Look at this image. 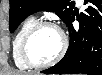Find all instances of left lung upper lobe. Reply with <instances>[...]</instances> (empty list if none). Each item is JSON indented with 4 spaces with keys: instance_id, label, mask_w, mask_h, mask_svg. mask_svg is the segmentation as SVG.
I'll return each mask as SVG.
<instances>
[{
    "instance_id": "obj_1",
    "label": "left lung upper lobe",
    "mask_w": 102,
    "mask_h": 75,
    "mask_svg": "<svg viewBox=\"0 0 102 75\" xmlns=\"http://www.w3.org/2000/svg\"><path fill=\"white\" fill-rule=\"evenodd\" d=\"M74 1L70 0H10L9 28L13 33L30 14L37 11L55 12L65 23L73 14Z\"/></svg>"
}]
</instances>
